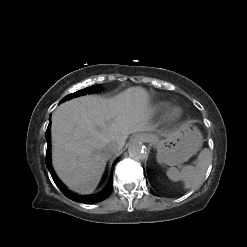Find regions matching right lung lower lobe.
<instances>
[{
    "label": "right lung lower lobe",
    "instance_id": "98d812e1",
    "mask_svg": "<svg viewBox=\"0 0 247 247\" xmlns=\"http://www.w3.org/2000/svg\"><path fill=\"white\" fill-rule=\"evenodd\" d=\"M50 125H51V115H50V118H49V125H48V128L46 130V141H47V144H48L47 152H46V166H47L49 172L51 173V176H52L55 184L59 187V189L62 191V193L65 196H67L68 198H70L71 200H73V201L81 202V203H90V204L91 203H96L98 201H102V200L108 198V196L111 194V192L113 190L112 175L110 177V180H109L107 186L101 192H99L97 194L85 195V196L77 195V194L69 191L66 188V186L58 179V177L53 172V169H52V166H51Z\"/></svg>",
    "mask_w": 247,
    "mask_h": 247
}]
</instances>
